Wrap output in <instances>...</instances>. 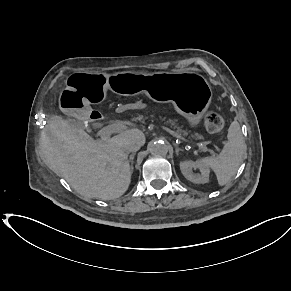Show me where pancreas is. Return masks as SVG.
Returning a JSON list of instances; mask_svg holds the SVG:
<instances>
[{
    "label": "pancreas",
    "mask_w": 291,
    "mask_h": 291,
    "mask_svg": "<svg viewBox=\"0 0 291 291\" xmlns=\"http://www.w3.org/2000/svg\"><path fill=\"white\" fill-rule=\"evenodd\" d=\"M134 121H156L159 123H163L164 125L170 126L176 133L183 136H188V131L183 129V126H180L176 119H172L168 117L166 114L161 112L157 108H146L142 110L141 113H135V116L132 118Z\"/></svg>",
    "instance_id": "cf45deb5"
}]
</instances>
